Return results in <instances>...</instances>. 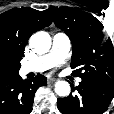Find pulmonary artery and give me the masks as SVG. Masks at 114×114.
<instances>
[{
	"instance_id": "obj_1",
	"label": "pulmonary artery",
	"mask_w": 114,
	"mask_h": 114,
	"mask_svg": "<svg viewBox=\"0 0 114 114\" xmlns=\"http://www.w3.org/2000/svg\"><path fill=\"white\" fill-rule=\"evenodd\" d=\"M71 43L68 36L64 33H56L53 36L52 47L44 55L38 56L30 61L25 62L21 67V73L43 72L60 64L68 55ZM81 79H77L79 84Z\"/></svg>"
}]
</instances>
